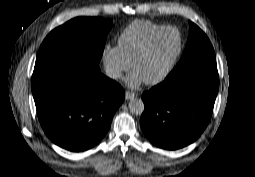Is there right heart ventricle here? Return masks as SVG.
<instances>
[{"instance_id":"obj_1","label":"right heart ventricle","mask_w":255,"mask_h":177,"mask_svg":"<svg viewBox=\"0 0 255 177\" xmlns=\"http://www.w3.org/2000/svg\"><path fill=\"white\" fill-rule=\"evenodd\" d=\"M165 27L148 20H135L128 24L118 38V45L125 58L131 63L148 38Z\"/></svg>"}]
</instances>
